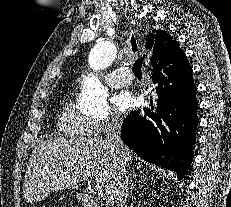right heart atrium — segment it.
<instances>
[{
  "mask_svg": "<svg viewBox=\"0 0 231 207\" xmlns=\"http://www.w3.org/2000/svg\"><path fill=\"white\" fill-rule=\"evenodd\" d=\"M121 125V119L116 113L92 120L93 134H102L110 130H114Z\"/></svg>",
  "mask_w": 231,
  "mask_h": 207,
  "instance_id": "obj_1",
  "label": "right heart atrium"
}]
</instances>
